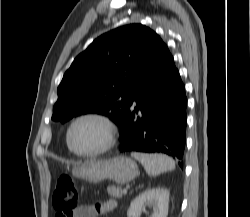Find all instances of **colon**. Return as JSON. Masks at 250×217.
<instances>
[{
  "label": "colon",
  "instance_id": "1",
  "mask_svg": "<svg viewBox=\"0 0 250 217\" xmlns=\"http://www.w3.org/2000/svg\"><path fill=\"white\" fill-rule=\"evenodd\" d=\"M79 193L74 180L68 175L60 176L55 185L52 205L56 211L55 217H72L78 207Z\"/></svg>",
  "mask_w": 250,
  "mask_h": 217
}]
</instances>
